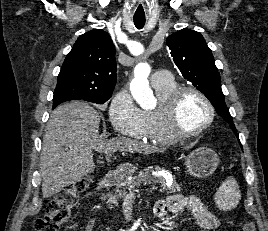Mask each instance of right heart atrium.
<instances>
[{
    "instance_id": "1",
    "label": "right heart atrium",
    "mask_w": 268,
    "mask_h": 231,
    "mask_svg": "<svg viewBox=\"0 0 268 231\" xmlns=\"http://www.w3.org/2000/svg\"><path fill=\"white\" fill-rule=\"evenodd\" d=\"M108 114L115 131L134 139H144L142 110L127 89L122 88L115 93L110 100Z\"/></svg>"
}]
</instances>
